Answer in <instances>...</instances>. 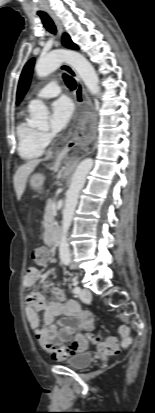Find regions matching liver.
I'll return each mask as SVG.
<instances>
[{
	"label": "liver",
	"mask_w": 155,
	"mask_h": 413,
	"mask_svg": "<svg viewBox=\"0 0 155 413\" xmlns=\"http://www.w3.org/2000/svg\"><path fill=\"white\" fill-rule=\"evenodd\" d=\"M41 159H34L21 165L14 175V188L17 195V199L20 200L25 190L26 182L29 175L34 171L36 166L41 162Z\"/></svg>",
	"instance_id": "1"
}]
</instances>
